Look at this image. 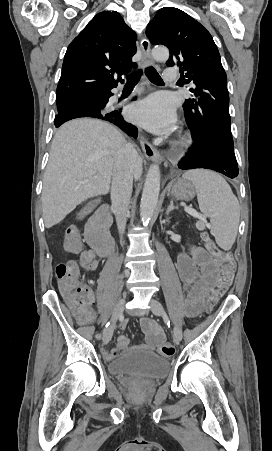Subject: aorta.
Returning <instances> with one entry per match:
<instances>
[{"label": "aorta", "instance_id": "obj_1", "mask_svg": "<svg viewBox=\"0 0 272 451\" xmlns=\"http://www.w3.org/2000/svg\"><path fill=\"white\" fill-rule=\"evenodd\" d=\"M152 56L154 60H168L169 50L167 48H154L152 50ZM160 170L157 164H152L148 170L146 182L144 184L141 204H140V216L142 222H149L151 220L155 208L159 200L160 192Z\"/></svg>", "mask_w": 272, "mask_h": 451}]
</instances>
